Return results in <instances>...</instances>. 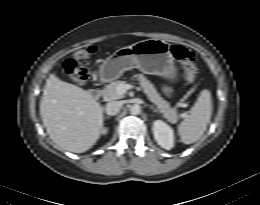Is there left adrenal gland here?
<instances>
[{"label": "left adrenal gland", "instance_id": "left-adrenal-gland-1", "mask_svg": "<svg viewBox=\"0 0 260 205\" xmlns=\"http://www.w3.org/2000/svg\"><path fill=\"white\" fill-rule=\"evenodd\" d=\"M149 108H150L153 112H158V110L155 109L153 106H150Z\"/></svg>", "mask_w": 260, "mask_h": 205}]
</instances>
